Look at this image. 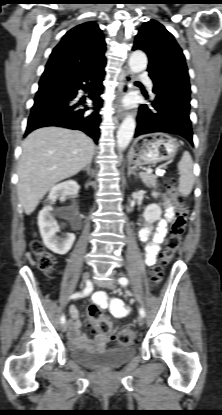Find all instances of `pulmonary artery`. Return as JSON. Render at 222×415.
Wrapping results in <instances>:
<instances>
[{
  "instance_id": "1",
  "label": "pulmonary artery",
  "mask_w": 222,
  "mask_h": 415,
  "mask_svg": "<svg viewBox=\"0 0 222 415\" xmlns=\"http://www.w3.org/2000/svg\"><path fill=\"white\" fill-rule=\"evenodd\" d=\"M140 79L144 81L145 85L148 87V89H152L153 84L152 81L150 80V78L148 77V75L146 73H140L139 75Z\"/></svg>"
}]
</instances>
